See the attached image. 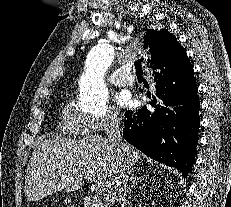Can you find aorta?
<instances>
[{"mask_svg":"<svg viewBox=\"0 0 231 207\" xmlns=\"http://www.w3.org/2000/svg\"><path fill=\"white\" fill-rule=\"evenodd\" d=\"M114 60V48L108 42H100L89 51L85 61V72L80 79L79 104L89 112H106L108 89L104 74Z\"/></svg>","mask_w":231,"mask_h":207,"instance_id":"obj_1","label":"aorta"}]
</instances>
